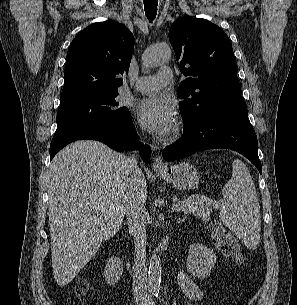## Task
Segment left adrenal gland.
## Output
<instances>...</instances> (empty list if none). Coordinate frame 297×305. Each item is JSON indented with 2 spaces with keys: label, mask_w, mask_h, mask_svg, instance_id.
<instances>
[{
  "label": "left adrenal gland",
  "mask_w": 297,
  "mask_h": 305,
  "mask_svg": "<svg viewBox=\"0 0 297 305\" xmlns=\"http://www.w3.org/2000/svg\"><path fill=\"white\" fill-rule=\"evenodd\" d=\"M184 219H182V221H183ZM178 222H181V220H179Z\"/></svg>",
  "instance_id": "obj_1"
}]
</instances>
